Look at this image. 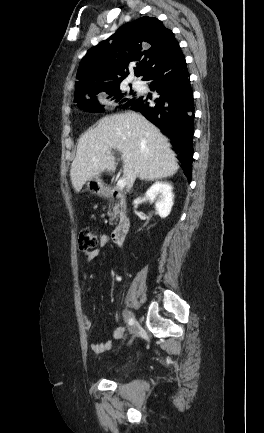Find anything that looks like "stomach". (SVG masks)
<instances>
[{"instance_id":"obj_1","label":"stomach","mask_w":264,"mask_h":433,"mask_svg":"<svg viewBox=\"0 0 264 433\" xmlns=\"http://www.w3.org/2000/svg\"><path fill=\"white\" fill-rule=\"evenodd\" d=\"M87 188L91 193L96 195H103L106 193V187L98 177L89 179L87 182Z\"/></svg>"}]
</instances>
